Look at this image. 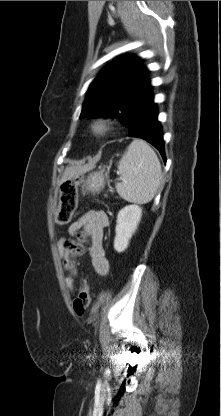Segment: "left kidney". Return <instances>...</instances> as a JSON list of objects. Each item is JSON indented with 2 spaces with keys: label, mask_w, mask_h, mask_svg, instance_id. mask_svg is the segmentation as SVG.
Here are the masks:
<instances>
[{
  "label": "left kidney",
  "mask_w": 221,
  "mask_h": 416,
  "mask_svg": "<svg viewBox=\"0 0 221 416\" xmlns=\"http://www.w3.org/2000/svg\"><path fill=\"white\" fill-rule=\"evenodd\" d=\"M141 217L142 209L138 205H127L119 211L115 228L116 236L114 239V249L118 253L127 249Z\"/></svg>",
  "instance_id": "1"
}]
</instances>
